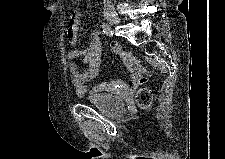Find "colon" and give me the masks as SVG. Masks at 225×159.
Masks as SVG:
<instances>
[{"label": "colon", "instance_id": "5ec220e1", "mask_svg": "<svg viewBox=\"0 0 225 159\" xmlns=\"http://www.w3.org/2000/svg\"><path fill=\"white\" fill-rule=\"evenodd\" d=\"M117 54L123 60L124 64L131 74L132 79L142 82L144 80L145 70L140 61L136 59L130 52L122 48L117 52ZM136 100L141 108L148 107L152 100V94L150 90L147 88L140 89L136 94Z\"/></svg>", "mask_w": 225, "mask_h": 159}]
</instances>
